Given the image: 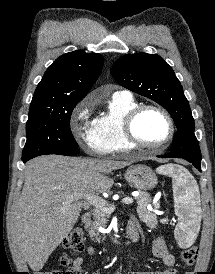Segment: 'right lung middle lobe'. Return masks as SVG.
I'll return each instance as SVG.
<instances>
[{"label":"right lung middle lobe","instance_id":"obj_1","mask_svg":"<svg viewBox=\"0 0 215 274\" xmlns=\"http://www.w3.org/2000/svg\"><path fill=\"white\" fill-rule=\"evenodd\" d=\"M78 103H31L22 159L76 149L78 144L70 129V117Z\"/></svg>","mask_w":215,"mask_h":274}]
</instances>
